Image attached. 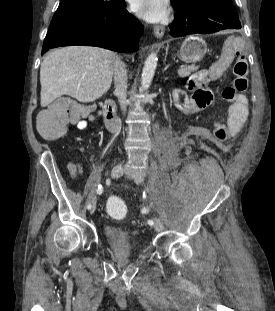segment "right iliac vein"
Listing matches in <instances>:
<instances>
[{"label":"right iliac vein","instance_id":"obj_1","mask_svg":"<svg viewBox=\"0 0 275 311\" xmlns=\"http://www.w3.org/2000/svg\"><path fill=\"white\" fill-rule=\"evenodd\" d=\"M123 167H124V164L123 162H120L118 163L113 169H112V172H111V177L112 178H118L122 175L123 173ZM96 210V202L93 203L91 209H90V213L93 214Z\"/></svg>","mask_w":275,"mask_h":311}]
</instances>
